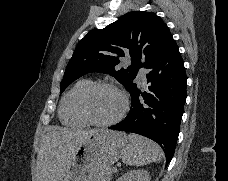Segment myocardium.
<instances>
[{
	"label": "myocardium",
	"instance_id": "1",
	"mask_svg": "<svg viewBox=\"0 0 228 181\" xmlns=\"http://www.w3.org/2000/svg\"><path fill=\"white\" fill-rule=\"evenodd\" d=\"M101 87H108V88H112V89L116 90L122 98V108L119 111V113L117 115H115L114 117L107 119V120H96V119L92 118L86 107V98H87L88 94L91 91H93L97 88H101ZM128 107H129V101H128L126 94L123 92V90H121L114 83L108 82V81H99V82H94V83L90 84L83 91V93L80 95L79 100H78V111H79L80 116L86 122H88L92 125H96V126H109V125L115 124L116 122L120 121L124 117V115L126 114V112L128 110Z\"/></svg>",
	"mask_w": 228,
	"mask_h": 181
}]
</instances>
